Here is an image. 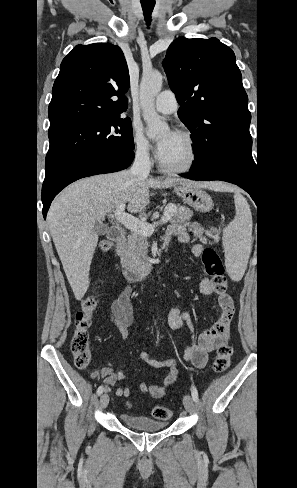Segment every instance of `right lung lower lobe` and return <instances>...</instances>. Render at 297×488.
I'll use <instances>...</instances> for the list:
<instances>
[{"mask_svg": "<svg viewBox=\"0 0 297 488\" xmlns=\"http://www.w3.org/2000/svg\"><path fill=\"white\" fill-rule=\"evenodd\" d=\"M133 159L132 150L95 154L69 162L45 176L41 194L44 219L54 197L67 185L83 177L123 170L130 166Z\"/></svg>", "mask_w": 297, "mask_h": 488, "instance_id": "1", "label": "right lung lower lobe"}]
</instances>
